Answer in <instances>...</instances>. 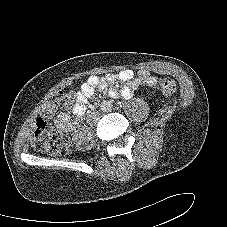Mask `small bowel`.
Instances as JSON below:
<instances>
[{
    "mask_svg": "<svg viewBox=\"0 0 227 227\" xmlns=\"http://www.w3.org/2000/svg\"><path fill=\"white\" fill-rule=\"evenodd\" d=\"M124 82L126 85L121 89L115 87L116 82ZM157 78L148 70L141 69L135 73L130 69H124L116 74L110 73L104 76L91 75L84 81L75 95V102L72 107L73 118L68 113L62 112L55 119L56 129L61 134H68L77 129L81 118L86 112L87 102L91 99L96 89L108 90V94L115 98L118 96L130 98L133 91L139 86L155 85Z\"/></svg>",
    "mask_w": 227,
    "mask_h": 227,
    "instance_id": "c3829d8e",
    "label": "small bowel"
}]
</instances>
